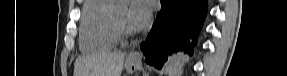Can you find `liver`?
<instances>
[{
    "label": "liver",
    "instance_id": "obj_1",
    "mask_svg": "<svg viewBox=\"0 0 287 76\" xmlns=\"http://www.w3.org/2000/svg\"><path fill=\"white\" fill-rule=\"evenodd\" d=\"M124 53L101 51L75 62V76H121Z\"/></svg>",
    "mask_w": 287,
    "mask_h": 76
}]
</instances>
